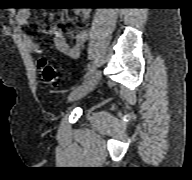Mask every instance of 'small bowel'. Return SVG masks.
<instances>
[{
  "label": "small bowel",
  "instance_id": "c3829d8e",
  "mask_svg": "<svg viewBox=\"0 0 192 180\" xmlns=\"http://www.w3.org/2000/svg\"><path fill=\"white\" fill-rule=\"evenodd\" d=\"M73 14L76 17H79L82 14H84L85 17H88L90 12L88 10L82 11L79 8H75ZM28 18L29 11L27 9H20L16 15V21L20 26L26 25L28 23ZM47 33L54 36L55 47L70 58H78L80 56L82 46L89 37L88 31L83 29L76 34L72 43H68L61 29L54 25L47 29ZM22 38L29 52H38L39 47L30 33H24Z\"/></svg>",
  "mask_w": 192,
  "mask_h": 180
}]
</instances>
